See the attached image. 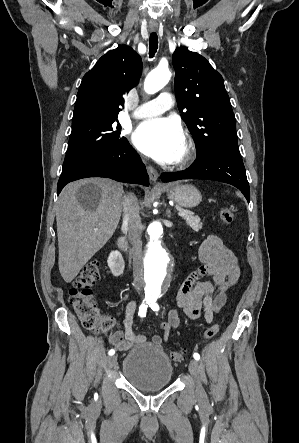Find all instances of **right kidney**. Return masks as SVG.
I'll return each instance as SVG.
<instances>
[{
  "label": "right kidney",
  "instance_id": "1",
  "mask_svg": "<svg viewBox=\"0 0 299 443\" xmlns=\"http://www.w3.org/2000/svg\"><path fill=\"white\" fill-rule=\"evenodd\" d=\"M108 266L114 276H120L125 268L122 254L119 251H112L107 260Z\"/></svg>",
  "mask_w": 299,
  "mask_h": 443
}]
</instances>
